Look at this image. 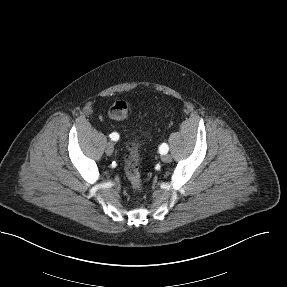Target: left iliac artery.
<instances>
[{
    "mask_svg": "<svg viewBox=\"0 0 287 287\" xmlns=\"http://www.w3.org/2000/svg\"><path fill=\"white\" fill-rule=\"evenodd\" d=\"M168 150H169V147L166 143L161 144L159 147V151L161 154H166Z\"/></svg>",
    "mask_w": 287,
    "mask_h": 287,
    "instance_id": "left-iliac-artery-1",
    "label": "left iliac artery"
}]
</instances>
